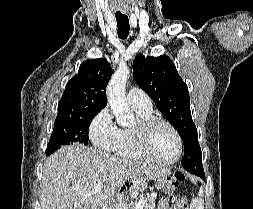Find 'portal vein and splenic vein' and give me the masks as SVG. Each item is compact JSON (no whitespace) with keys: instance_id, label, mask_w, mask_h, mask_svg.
<instances>
[{"instance_id":"portal-vein-and-splenic-vein-1","label":"portal vein and splenic vein","mask_w":253,"mask_h":209,"mask_svg":"<svg viewBox=\"0 0 253 209\" xmlns=\"http://www.w3.org/2000/svg\"><path fill=\"white\" fill-rule=\"evenodd\" d=\"M103 188V183L102 182H98L94 185L93 189H92V193H97L99 191H101ZM143 205H144V201L140 200L136 205H135V209H143Z\"/></svg>"}]
</instances>
